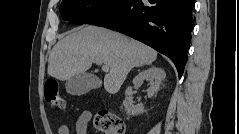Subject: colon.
<instances>
[{"instance_id": "1", "label": "colon", "mask_w": 239, "mask_h": 134, "mask_svg": "<svg viewBox=\"0 0 239 134\" xmlns=\"http://www.w3.org/2000/svg\"><path fill=\"white\" fill-rule=\"evenodd\" d=\"M44 97L46 102L57 109L65 108V101L61 95L58 82L49 78L45 82ZM94 127L104 134H124L125 125L123 121L114 113L100 111L93 117Z\"/></svg>"}]
</instances>
